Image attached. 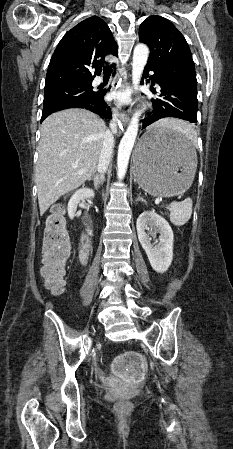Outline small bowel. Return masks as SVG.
<instances>
[{"mask_svg":"<svg viewBox=\"0 0 233 449\" xmlns=\"http://www.w3.org/2000/svg\"><path fill=\"white\" fill-rule=\"evenodd\" d=\"M129 354H117L116 361L111 365L109 375L111 377H124L125 384H134L135 377H142L144 371V364L141 363V354H136L135 348L129 349Z\"/></svg>","mask_w":233,"mask_h":449,"instance_id":"obj_1","label":"small bowel"}]
</instances>
